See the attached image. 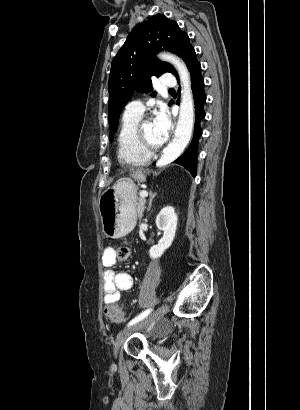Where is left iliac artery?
<instances>
[{
	"instance_id": "1",
	"label": "left iliac artery",
	"mask_w": 300,
	"mask_h": 410,
	"mask_svg": "<svg viewBox=\"0 0 300 410\" xmlns=\"http://www.w3.org/2000/svg\"><path fill=\"white\" fill-rule=\"evenodd\" d=\"M152 309H148L144 312H142L141 314H139L138 316H136L134 319H132L129 323H128V327L139 322L140 320L144 319L145 317H147L150 313H151Z\"/></svg>"
}]
</instances>
